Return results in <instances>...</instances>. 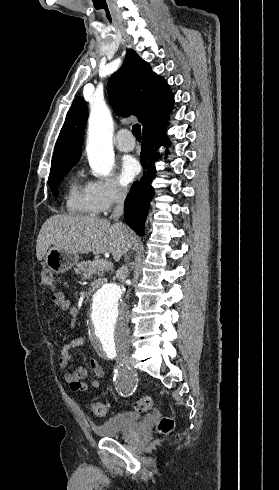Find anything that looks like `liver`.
<instances>
[{"instance_id":"liver-1","label":"liver","mask_w":279,"mask_h":490,"mask_svg":"<svg viewBox=\"0 0 279 490\" xmlns=\"http://www.w3.org/2000/svg\"><path fill=\"white\" fill-rule=\"evenodd\" d=\"M120 232H126L121 236ZM134 232L128 226H116L109 220L89 218V216H51L43 224L37 238V260H43L50 246L64 248L73 254H112L115 262L133 244Z\"/></svg>"}]
</instances>
